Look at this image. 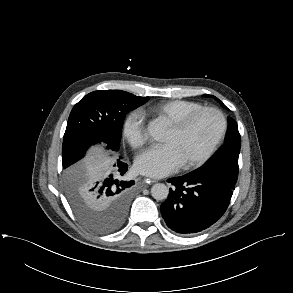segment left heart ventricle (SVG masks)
<instances>
[{
  "instance_id": "obj_1",
  "label": "left heart ventricle",
  "mask_w": 293,
  "mask_h": 293,
  "mask_svg": "<svg viewBox=\"0 0 293 293\" xmlns=\"http://www.w3.org/2000/svg\"><path fill=\"white\" fill-rule=\"evenodd\" d=\"M221 122L219 117L211 112H206L194 119L182 132L177 133L169 128L165 144H172L183 162H188L202 155L212 144L219 133Z\"/></svg>"
}]
</instances>
